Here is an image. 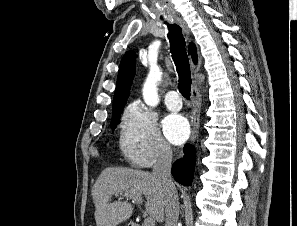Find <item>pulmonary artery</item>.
<instances>
[{"label": "pulmonary artery", "instance_id": "pulmonary-artery-1", "mask_svg": "<svg viewBox=\"0 0 297 226\" xmlns=\"http://www.w3.org/2000/svg\"><path fill=\"white\" fill-rule=\"evenodd\" d=\"M165 105L171 111H178L182 107V101L179 97L178 92L172 90L169 91L165 96Z\"/></svg>", "mask_w": 297, "mask_h": 226}]
</instances>
